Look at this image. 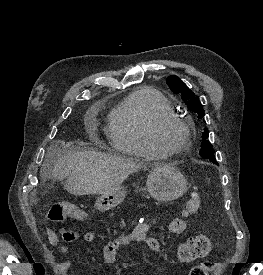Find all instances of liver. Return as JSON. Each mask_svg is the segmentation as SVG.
Wrapping results in <instances>:
<instances>
[{
    "label": "liver",
    "instance_id": "liver-1",
    "mask_svg": "<svg viewBox=\"0 0 263 275\" xmlns=\"http://www.w3.org/2000/svg\"><path fill=\"white\" fill-rule=\"evenodd\" d=\"M67 146L64 142L52 145L57 158L52 164L45 161L41 176L49 174L55 180L66 178L65 189L73 195L106 194L142 167L140 163L119 156L90 150L62 152L61 148Z\"/></svg>",
    "mask_w": 263,
    "mask_h": 275
}]
</instances>
